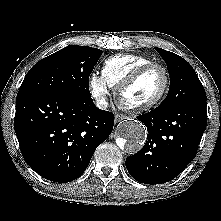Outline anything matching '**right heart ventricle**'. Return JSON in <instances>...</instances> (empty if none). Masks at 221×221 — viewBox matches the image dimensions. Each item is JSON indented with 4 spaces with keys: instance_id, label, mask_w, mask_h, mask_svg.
Masks as SVG:
<instances>
[{
    "instance_id": "e07e8e85",
    "label": "right heart ventricle",
    "mask_w": 221,
    "mask_h": 221,
    "mask_svg": "<svg viewBox=\"0 0 221 221\" xmlns=\"http://www.w3.org/2000/svg\"><path fill=\"white\" fill-rule=\"evenodd\" d=\"M154 62L151 58L137 54H118L105 60L102 76L110 87H117L139 67Z\"/></svg>"
}]
</instances>
